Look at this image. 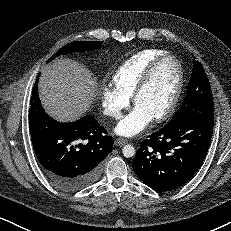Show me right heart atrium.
Here are the masks:
<instances>
[{
	"label": "right heart atrium",
	"instance_id": "right-heart-atrium-1",
	"mask_svg": "<svg viewBox=\"0 0 231 231\" xmlns=\"http://www.w3.org/2000/svg\"><path fill=\"white\" fill-rule=\"evenodd\" d=\"M100 99L104 114L114 119H119L130 103V98L111 84L102 85Z\"/></svg>",
	"mask_w": 231,
	"mask_h": 231
}]
</instances>
